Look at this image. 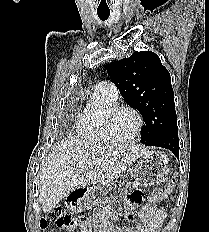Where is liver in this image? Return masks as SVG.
I'll return each instance as SVG.
<instances>
[{
    "instance_id": "1",
    "label": "liver",
    "mask_w": 209,
    "mask_h": 232,
    "mask_svg": "<svg viewBox=\"0 0 209 232\" xmlns=\"http://www.w3.org/2000/svg\"><path fill=\"white\" fill-rule=\"evenodd\" d=\"M147 153L148 150L140 145H104L79 138L62 142L40 172L38 184L43 212H50L76 188L85 187L90 182L109 183ZM93 161L98 164L94 165Z\"/></svg>"
}]
</instances>
